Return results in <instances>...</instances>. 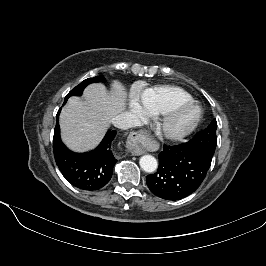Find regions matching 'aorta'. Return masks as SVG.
<instances>
[{"label":"aorta","instance_id":"aorta-1","mask_svg":"<svg viewBox=\"0 0 266 266\" xmlns=\"http://www.w3.org/2000/svg\"><path fill=\"white\" fill-rule=\"evenodd\" d=\"M140 166L141 168L148 173H152L156 171L158 167V162L155 157L151 155H144L140 158Z\"/></svg>","mask_w":266,"mask_h":266}]
</instances>
